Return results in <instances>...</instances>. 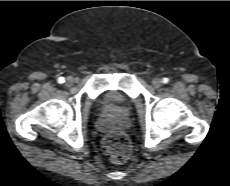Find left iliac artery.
<instances>
[{"mask_svg":"<svg viewBox=\"0 0 230 186\" xmlns=\"http://www.w3.org/2000/svg\"><path fill=\"white\" fill-rule=\"evenodd\" d=\"M162 82L166 84L169 82V79L165 77V78H163Z\"/></svg>","mask_w":230,"mask_h":186,"instance_id":"left-iliac-artery-1","label":"left iliac artery"}]
</instances>
